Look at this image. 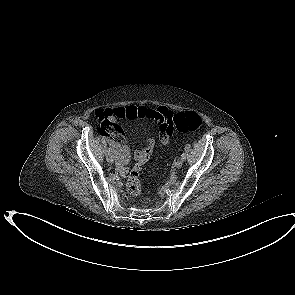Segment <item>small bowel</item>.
I'll list each match as a JSON object with an SVG mask.
<instances>
[{"instance_id": "obj_1", "label": "small bowel", "mask_w": 295, "mask_h": 295, "mask_svg": "<svg viewBox=\"0 0 295 295\" xmlns=\"http://www.w3.org/2000/svg\"><path fill=\"white\" fill-rule=\"evenodd\" d=\"M168 113H170V111L165 107L152 109L146 106L136 105L96 111L95 116L99 125V132L105 136L108 144L116 155L117 168L122 175H125L128 172L126 165L130 159V150L126 144L116 140V136L122 131V126L120 124H116L115 120L117 118L129 120L145 119L153 121L154 123L158 124L159 127L160 122L166 117ZM171 135L172 132L170 131H160V140L162 144H169ZM146 148L147 144L144 148L136 150L134 152V159L136 160V155L141 153Z\"/></svg>"}]
</instances>
